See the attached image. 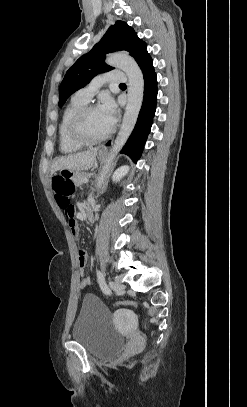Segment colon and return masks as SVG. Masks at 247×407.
Listing matches in <instances>:
<instances>
[{"mask_svg":"<svg viewBox=\"0 0 247 407\" xmlns=\"http://www.w3.org/2000/svg\"><path fill=\"white\" fill-rule=\"evenodd\" d=\"M52 189L54 197L60 208H65L71 201V196L74 193V185L62 176H55L52 179ZM128 308H136L137 304L131 300H125L117 303Z\"/></svg>","mask_w":247,"mask_h":407,"instance_id":"obj_1","label":"colon"}]
</instances>
